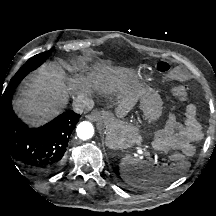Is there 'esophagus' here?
I'll return each mask as SVG.
<instances>
[{
  "label": "esophagus",
  "mask_w": 216,
  "mask_h": 216,
  "mask_svg": "<svg viewBox=\"0 0 216 216\" xmlns=\"http://www.w3.org/2000/svg\"><path fill=\"white\" fill-rule=\"evenodd\" d=\"M86 117L91 121H99L106 117V113L104 111H93L90 114H88Z\"/></svg>",
  "instance_id": "esophagus-1"
}]
</instances>
